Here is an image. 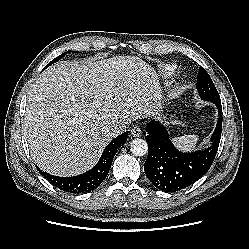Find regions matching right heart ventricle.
I'll use <instances>...</instances> for the list:
<instances>
[{
  "label": "right heart ventricle",
  "instance_id": "1",
  "mask_svg": "<svg viewBox=\"0 0 249 249\" xmlns=\"http://www.w3.org/2000/svg\"><path fill=\"white\" fill-rule=\"evenodd\" d=\"M175 71V67L173 65H165L163 68H162V73L165 75V76H170L174 73Z\"/></svg>",
  "mask_w": 249,
  "mask_h": 249
}]
</instances>
